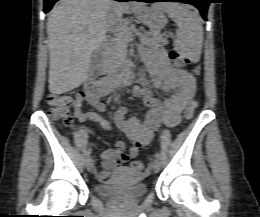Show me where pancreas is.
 I'll list each match as a JSON object with an SVG mask.
<instances>
[{
    "label": "pancreas",
    "instance_id": "cf45deb5",
    "mask_svg": "<svg viewBox=\"0 0 260 217\" xmlns=\"http://www.w3.org/2000/svg\"><path fill=\"white\" fill-rule=\"evenodd\" d=\"M140 42L143 45L149 47H159L167 44V40L156 31L146 32L143 34H137ZM132 33L127 28H122L107 42L106 57L104 62V68L107 70L110 66L115 65L126 54L128 43L131 41Z\"/></svg>",
    "mask_w": 260,
    "mask_h": 217
}]
</instances>
